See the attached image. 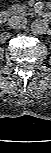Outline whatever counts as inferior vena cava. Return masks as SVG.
Masks as SVG:
<instances>
[{"instance_id": "602c4592", "label": "inferior vena cava", "mask_w": 51, "mask_h": 153, "mask_svg": "<svg viewBox=\"0 0 51 153\" xmlns=\"http://www.w3.org/2000/svg\"><path fill=\"white\" fill-rule=\"evenodd\" d=\"M9 26L13 29L24 28L27 24V18L24 16H12L9 21Z\"/></svg>"}]
</instances>
